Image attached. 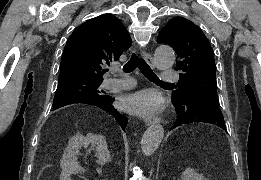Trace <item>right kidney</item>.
Returning a JSON list of instances; mask_svg holds the SVG:
<instances>
[{
    "label": "right kidney",
    "mask_w": 261,
    "mask_h": 180,
    "mask_svg": "<svg viewBox=\"0 0 261 180\" xmlns=\"http://www.w3.org/2000/svg\"><path fill=\"white\" fill-rule=\"evenodd\" d=\"M82 146H91V148H95L96 156L98 158L97 162L100 166H104V164L109 162L110 154L104 136H99V134H87V136L76 134V136L71 138L68 148L66 152H64V156L60 162L62 168L60 180H68L71 174H76L78 170H82V168H79L76 158Z\"/></svg>",
    "instance_id": "1"
}]
</instances>
